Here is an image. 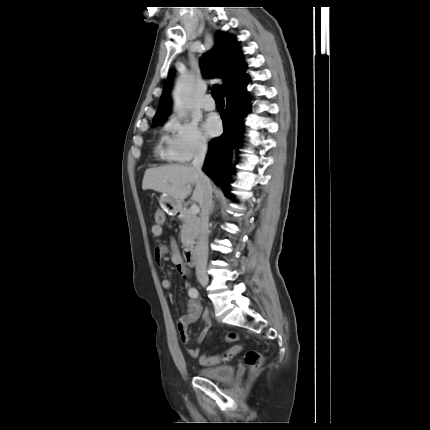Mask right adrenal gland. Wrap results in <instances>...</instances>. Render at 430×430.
<instances>
[{"mask_svg": "<svg viewBox=\"0 0 430 430\" xmlns=\"http://www.w3.org/2000/svg\"><path fill=\"white\" fill-rule=\"evenodd\" d=\"M214 207H215V204L213 203V204H212V207H211V211H210L211 213L213 212Z\"/></svg>", "mask_w": 430, "mask_h": 430, "instance_id": "1", "label": "right adrenal gland"}]
</instances>
